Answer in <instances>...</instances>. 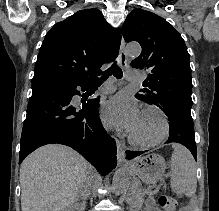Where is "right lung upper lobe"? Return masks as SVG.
<instances>
[{"mask_svg": "<svg viewBox=\"0 0 219 211\" xmlns=\"http://www.w3.org/2000/svg\"><path fill=\"white\" fill-rule=\"evenodd\" d=\"M120 29L96 9L80 10L56 23L41 45L32 84L91 82L118 55Z\"/></svg>", "mask_w": 219, "mask_h": 211, "instance_id": "cb5924a9", "label": "right lung upper lobe"}]
</instances>
